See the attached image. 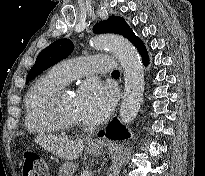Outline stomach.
<instances>
[{"instance_id":"1","label":"stomach","mask_w":205,"mask_h":176,"mask_svg":"<svg viewBox=\"0 0 205 176\" xmlns=\"http://www.w3.org/2000/svg\"><path fill=\"white\" fill-rule=\"evenodd\" d=\"M87 151L91 155H99L103 151V144L99 141L88 140ZM75 164L72 162H66L60 172V176H72L75 171Z\"/></svg>"}]
</instances>
